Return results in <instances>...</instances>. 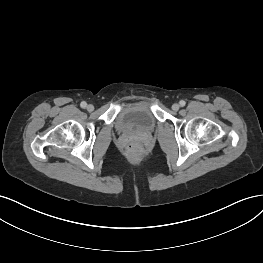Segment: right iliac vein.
I'll return each mask as SVG.
<instances>
[{
  "label": "right iliac vein",
  "mask_w": 263,
  "mask_h": 263,
  "mask_svg": "<svg viewBox=\"0 0 263 263\" xmlns=\"http://www.w3.org/2000/svg\"><path fill=\"white\" fill-rule=\"evenodd\" d=\"M87 110H88L89 112H92V111L94 110V106L91 105V104H89V105L87 106Z\"/></svg>",
  "instance_id": "1"
}]
</instances>
